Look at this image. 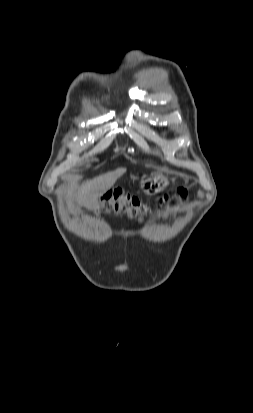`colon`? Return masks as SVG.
I'll list each match as a JSON object with an SVG mask.
<instances>
[{
	"label": "colon",
	"mask_w": 253,
	"mask_h": 413,
	"mask_svg": "<svg viewBox=\"0 0 253 413\" xmlns=\"http://www.w3.org/2000/svg\"><path fill=\"white\" fill-rule=\"evenodd\" d=\"M176 196L185 199L187 192L185 189H179ZM170 200L169 196L159 199V204L164 205ZM103 210L107 213H125L129 217L144 220L149 213V207L142 203L138 198L115 190L104 196Z\"/></svg>",
	"instance_id": "colon-1"
}]
</instances>
